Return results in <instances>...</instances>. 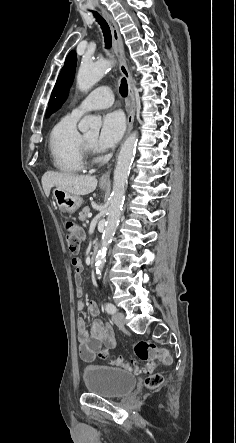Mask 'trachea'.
I'll list each match as a JSON object with an SVG mask.
<instances>
[{
	"mask_svg": "<svg viewBox=\"0 0 236 443\" xmlns=\"http://www.w3.org/2000/svg\"><path fill=\"white\" fill-rule=\"evenodd\" d=\"M94 17L96 18V21L99 23V25L101 26L102 32H103V36H104V41H105V46L107 49L111 48V31L109 28V25L107 24V22L105 21V19L100 16L97 12H93ZM120 94L123 97H126L128 94V85H127V81L125 78H123L121 80L120 83Z\"/></svg>",
	"mask_w": 236,
	"mask_h": 443,
	"instance_id": "obj_1",
	"label": "trachea"
}]
</instances>
